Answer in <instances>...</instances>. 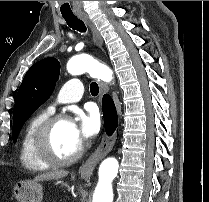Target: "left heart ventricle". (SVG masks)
Masks as SVG:
<instances>
[{
  "mask_svg": "<svg viewBox=\"0 0 209 202\" xmlns=\"http://www.w3.org/2000/svg\"><path fill=\"white\" fill-rule=\"evenodd\" d=\"M81 145L76 141L70 121L58 124L50 136V147L61 158L73 155Z\"/></svg>",
  "mask_w": 209,
  "mask_h": 202,
  "instance_id": "1",
  "label": "left heart ventricle"
}]
</instances>
